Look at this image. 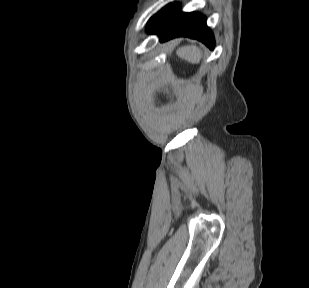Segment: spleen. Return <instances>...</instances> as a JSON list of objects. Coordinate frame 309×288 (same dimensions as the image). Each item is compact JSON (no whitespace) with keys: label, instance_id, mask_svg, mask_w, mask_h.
<instances>
[{"label":"spleen","instance_id":"obj_1","mask_svg":"<svg viewBox=\"0 0 309 288\" xmlns=\"http://www.w3.org/2000/svg\"><path fill=\"white\" fill-rule=\"evenodd\" d=\"M177 55L189 63L198 64L202 58V52L196 45H188L177 50Z\"/></svg>","mask_w":309,"mask_h":288}]
</instances>
